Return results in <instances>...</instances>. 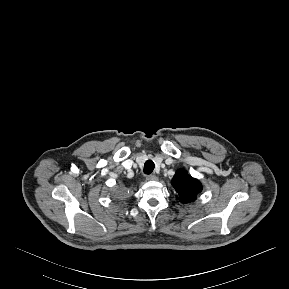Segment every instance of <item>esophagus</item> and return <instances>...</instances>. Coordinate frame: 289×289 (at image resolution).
Segmentation results:
<instances>
[{
	"label": "esophagus",
	"instance_id": "esophagus-1",
	"mask_svg": "<svg viewBox=\"0 0 289 289\" xmlns=\"http://www.w3.org/2000/svg\"><path fill=\"white\" fill-rule=\"evenodd\" d=\"M146 180H148V181H155V180H157V177H156L154 174H151V175H148V176L146 177Z\"/></svg>",
	"mask_w": 289,
	"mask_h": 289
}]
</instances>
